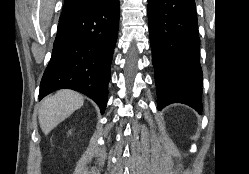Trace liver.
<instances>
[{"mask_svg":"<svg viewBox=\"0 0 249 174\" xmlns=\"http://www.w3.org/2000/svg\"><path fill=\"white\" fill-rule=\"evenodd\" d=\"M83 96L75 91L59 90L55 95L46 97L39 108L38 119L45 135L50 133L59 123L81 108Z\"/></svg>","mask_w":249,"mask_h":174,"instance_id":"liver-1","label":"liver"}]
</instances>
